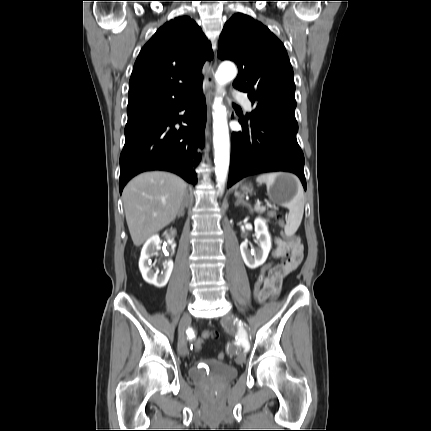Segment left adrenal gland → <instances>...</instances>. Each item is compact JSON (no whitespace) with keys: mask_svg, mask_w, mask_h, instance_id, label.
<instances>
[{"mask_svg":"<svg viewBox=\"0 0 431 431\" xmlns=\"http://www.w3.org/2000/svg\"><path fill=\"white\" fill-rule=\"evenodd\" d=\"M240 204H242L244 206H247L249 208L250 212L253 211L251 205L249 203H247L246 201H244V199H243V197H242L241 194H238L237 195V200L235 202V206H239Z\"/></svg>","mask_w":431,"mask_h":431,"instance_id":"1","label":"left adrenal gland"}]
</instances>
